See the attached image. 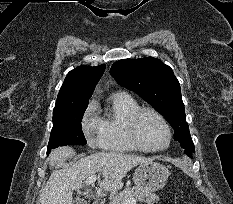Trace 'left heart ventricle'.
Here are the masks:
<instances>
[{"mask_svg":"<svg viewBox=\"0 0 233 204\" xmlns=\"http://www.w3.org/2000/svg\"><path fill=\"white\" fill-rule=\"evenodd\" d=\"M138 131L142 142L150 148H158L165 145L167 131L162 122L153 114L142 115L138 124Z\"/></svg>","mask_w":233,"mask_h":204,"instance_id":"1","label":"left heart ventricle"}]
</instances>
